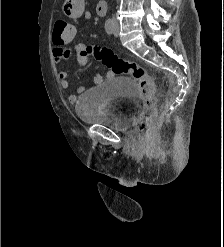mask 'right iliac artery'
<instances>
[{
    "instance_id": "82829eb1",
    "label": "right iliac artery",
    "mask_w": 224,
    "mask_h": 247,
    "mask_svg": "<svg viewBox=\"0 0 224 247\" xmlns=\"http://www.w3.org/2000/svg\"><path fill=\"white\" fill-rule=\"evenodd\" d=\"M105 30L106 32L111 35L114 31V23L111 19H108L106 22H105Z\"/></svg>"
}]
</instances>
